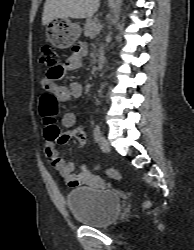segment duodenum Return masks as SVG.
Wrapping results in <instances>:
<instances>
[{
  "label": "duodenum",
  "instance_id": "1",
  "mask_svg": "<svg viewBox=\"0 0 194 250\" xmlns=\"http://www.w3.org/2000/svg\"><path fill=\"white\" fill-rule=\"evenodd\" d=\"M105 64V57L103 54H100L98 57V68L101 69L104 67Z\"/></svg>",
  "mask_w": 194,
  "mask_h": 250
}]
</instances>
